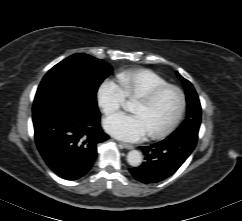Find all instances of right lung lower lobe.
Instances as JSON below:
<instances>
[{
  "instance_id": "1",
  "label": "right lung lower lobe",
  "mask_w": 242,
  "mask_h": 221,
  "mask_svg": "<svg viewBox=\"0 0 242 221\" xmlns=\"http://www.w3.org/2000/svg\"><path fill=\"white\" fill-rule=\"evenodd\" d=\"M99 121L98 110L80 114L66 108L45 107L33 112L37 147L57 175L75 180L91 169L97 145L109 138Z\"/></svg>"
}]
</instances>
